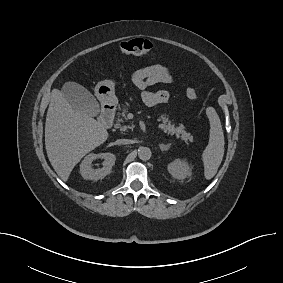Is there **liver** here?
<instances>
[{
  "mask_svg": "<svg viewBox=\"0 0 283 283\" xmlns=\"http://www.w3.org/2000/svg\"><path fill=\"white\" fill-rule=\"evenodd\" d=\"M108 132L92 116L74 110L58 89H53L45 124V146L49 161L67 181L75 165L103 144Z\"/></svg>",
  "mask_w": 283,
  "mask_h": 283,
  "instance_id": "obj_1",
  "label": "liver"
}]
</instances>
